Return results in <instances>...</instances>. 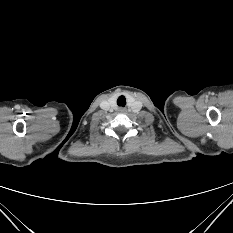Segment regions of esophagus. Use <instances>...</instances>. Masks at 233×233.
<instances>
[{"mask_svg": "<svg viewBox=\"0 0 233 233\" xmlns=\"http://www.w3.org/2000/svg\"><path fill=\"white\" fill-rule=\"evenodd\" d=\"M119 112H121V113L124 112V109L120 108V109H119Z\"/></svg>", "mask_w": 233, "mask_h": 233, "instance_id": "1", "label": "esophagus"}]
</instances>
